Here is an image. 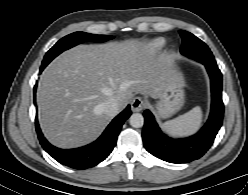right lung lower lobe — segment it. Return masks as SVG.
Returning a JSON list of instances; mask_svg holds the SVG:
<instances>
[{
	"mask_svg": "<svg viewBox=\"0 0 248 195\" xmlns=\"http://www.w3.org/2000/svg\"><path fill=\"white\" fill-rule=\"evenodd\" d=\"M46 66H41L40 73ZM36 86L34 88L35 100ZM131 115L130 105L116 116L103 134L93 143L76 149H59L51 145L43 136L36 117L35 125L40 144L59 163L74 169H87L96 166L112 152L123 123Z\"/></svg>",
	"mask_w": 248,
	"mask_h": 195,
	"instance_id": "obj_1",
	"label": "right lung lower lobe"
}]
</instances>
